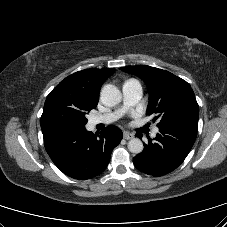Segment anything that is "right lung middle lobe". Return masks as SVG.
<instances>
[{"label": "right lung middle lobe", "mask_w": 227, "mask_h": 227, "mask_svg": "<svg viewBox=\"0 0 227 227\" xmlns=\"http://www.w3.org/2000/svg\"><path fill=\"white\" fill-rule=\"evenodd\" d=\"M96 108L69 92L54 88L46 98L41 116L42 132L57 129L80 130L85 128V115Z\"/></svg>", "instance_id": "right-lung-middle-lobe-1"}]
</instances>
